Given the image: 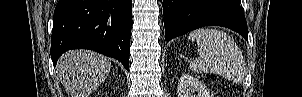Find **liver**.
I'll list each match as a JSON object with an SVG mask.
<instances>
[{"mask_svg":"<svg viewBox=\"0 0 302 97\" xmlns=\"http://www.w3.org/2000/svg\"><path fill=\"white\" fill-rule=\"evenodd\" d=\"M108 57L87 50L68 51L59 58L56 71L71 97H88L106 79Z\"/></svg>","mask_w":302,"mask_h":97,"instance_id":"6515ba94","label":"liver"}]
</instances>
